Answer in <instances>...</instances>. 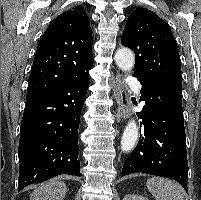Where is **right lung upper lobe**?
I'll use <instances>...</instances> for the list:
<instances>
[{
	"label": "right lung upper lobe",
	"mask_w": 201,
	"mask_h": 200,
	"mask_svg": "<svg viewBox=\"0 0 201 200\" xmlns=\"http://www.w3.org/2000/svg\"><path fill=\"white\" fill-rule=\"evenodd\" d=\"M90 21L81 5L56 17L38 44L27 95L65 85L89 71L94 58Z\"/></svg>",
	"instance_id": "obj_1"
}]
</instances>
